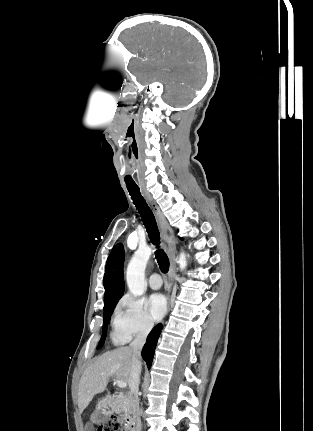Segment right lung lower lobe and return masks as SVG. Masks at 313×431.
<instances>
[{"label":"right lung lower lobe","instance_id":"1","mask_svg":"<svg viewBox=\"0 0 313 431\" xmlns=\"http://www.w3.org/2000/svg\"><path fill=\"white\" fill-rule=\"evenodd\" d=\"M161 329H162L161 324L156 325L150 332L146 340V344L143 347L142 357L146 361L148 368H150L152 365V360H153L155 348L157 345V341L161 333Z\"/></svg>","mask_w":313,"mask_h":431}]
</instances>
